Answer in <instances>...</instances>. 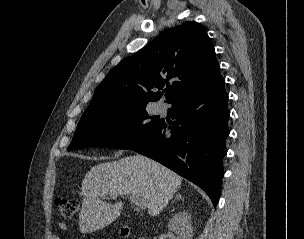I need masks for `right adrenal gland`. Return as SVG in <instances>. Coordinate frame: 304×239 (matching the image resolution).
<instances>
[{
    "label": "right adrenal gland",
    "instance_id": "right-adrenal-gland-1",
    "mask_svg": "<svg viewBox=\"0 0 304 239\" xmlns=\"http://www.w3.org/2000/svg\"><path fill=\"white\" fill-rule=\"evenodd\" d=\"M177 199H181L182 200V197H181V195L180 194H177L176 195V198H175V200H177ZM174 202V200L172 201V203Z\"/></svg>",
    "mask_w": 304,
    "mask_h": 239
}]
</instances>
